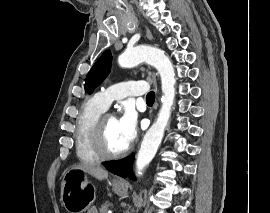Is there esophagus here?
Segmentation results:
<instances>
[{
	"label": "esophagus",
	"mask_w": 270,
	"mask_h": 213,
	"mask_svg": "<svg viewBox=\"0 0 270 213\" xmlns=\"http://www.w3.org/2000/svg\"><path fill=\"white\" fill-rule=\"evenodd\" d=\"M146 36H147V38L149 40H152V38H153L152 33L148 29L146 30ZM152 80H153L156 91H158L157 81H156V74L154 72L152 73Z\"/></svg>",
	"instance_id": "esophagus-1"
}]
</instances>
